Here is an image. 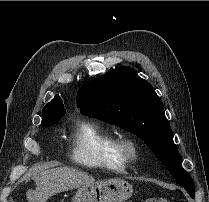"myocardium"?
<instances>
[{
	"label": "myocardium",
	"mask_w": 209,
	"mask_h": 202,
	"mask_svg": "<svg viewBox=\"0 0 209 202\" xmlns=\"http://www.w3.org/2000/svg\"><path fill=\"white\" fill-rule=\"evenodd\" d=\"M138 149L139 147L136 139L128 135L119 138L115 146L118 155L131 161L137 158Z\"/></svg>",
	"instance_id": "obj_1"
}]
</instances>
